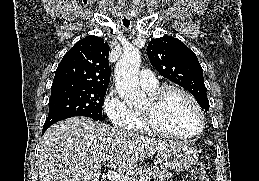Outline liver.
Wrapping results in <instances>:
<instances>
[{
    "mask_svg": "<svg viewBox=\"0 0 259 181\" xmlns=\"http://www.w3.org/2000/svg\"><path fill=\"white\" fill-rule=\"evenodd\" d=\"M171 144L73 117L45 132L38 156L39 181H98L107 161L104 156L122 174Z\"/></svg>",
    "mask_w": 259,
    "mask_h": 181,
    "instance_id": "6515ba94",
    "label": "liver"
}]
</instances>
